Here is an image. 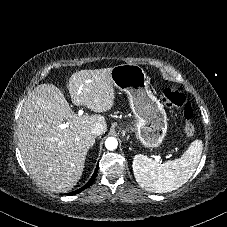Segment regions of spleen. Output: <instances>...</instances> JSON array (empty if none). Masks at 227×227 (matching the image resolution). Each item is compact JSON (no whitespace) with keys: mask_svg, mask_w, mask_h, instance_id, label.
Here are the masks:
<instances>
[{"mask_svg":"<svg viewBox=\"0 0 227 227\" xmlns=\"http://www.w3.org/2000/svg\"><path fill=\"white\" fill-rule=\"evenodd\" d=\"M202 150V141L195 140L180 158L162 164L145 155H135L132 163L135 179L143 189L153 193L176 190L196 171Z\"/></svg>","mask_w":227,"mask_h":227,"instance_id":"obj_1","label":"spleen"}]
</instances>
